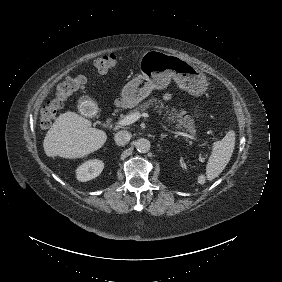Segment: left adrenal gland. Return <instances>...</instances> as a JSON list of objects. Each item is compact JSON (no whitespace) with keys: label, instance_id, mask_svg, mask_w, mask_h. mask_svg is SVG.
Returning <instances> with one entry per match:
<instances>
[{"label":"left adrenal gland","instance_id":"left-adrenal-gland-1","mask_svg":"<svg viewBox=\"0 0 282 282\" xmlns=\"http://www.w3.org/2000/svg\"><path fill=\"white\" fill-rule=\"evenodd\" d=\"M165 137H167L166 134H161V140H162L163 138H165Z\"/></svg>","mask_w":282,"mask_h":282}]
</instances>
